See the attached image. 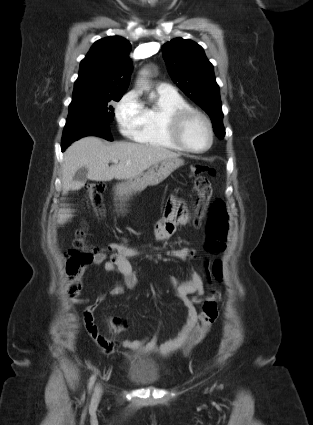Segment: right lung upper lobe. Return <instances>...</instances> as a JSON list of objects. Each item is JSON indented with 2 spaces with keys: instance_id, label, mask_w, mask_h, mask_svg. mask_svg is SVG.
Returning a JSON list of instances; mask_svg holds the SVG:
<instances>
[{
  "instance_id": "cb5924a9",
  "label": "right lung upper lobe",
  "mask_w": 313,
  "mask_h": 425,
  "mask_svg": "<svg viewBox=\"0 0 313 425\" xmlns=\"http://www.w3.org/2000/svg\"><path fill=\"white\" fill-rule=\"evenodd\" d=\"M130 51L131 44L120 36L96 41L80 63L73 98L124 93L132 70Z\"/></svg>"
}]
</instances>
